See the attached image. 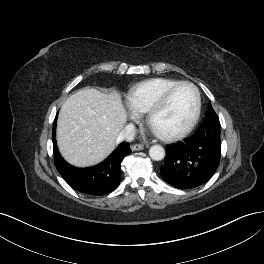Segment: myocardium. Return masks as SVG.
I'll return each instance as SVG.
<instances>
[{"label":"myocardium","instance_id":"f54148a6","mask_svg":"<svg viewBox=\"0 0 264 264\" xmlns=\"http://www.w3.org/2000/svg\"><path fill=\"white\" fill-rule=\"evenodd\" d=\"M182 85H188V86L192 87L194 92H195V96H196L195 110H194V113H193L190 121L188 122V124L185 127H183L182 129H180V130H178L176 132L162 133V132L156 131L152 127V120H153L154 116L160 110H162L165 107V105L167 104L172 92L176 88H178V87H180ZM201 109H202V98H201V92H200L199 88L191 81L182 80V81H178V82L170 85L169 87H167L164 90V92L161 94L159 99L148 110L147 117H146V122H147L148 127L161 140H164V141H176V140H179V139L185 137L186 135H188L193 130V128L196 126V124H197V122H198V120L200 118Z\"/></svg>","mask_w":264,"mask_h":264}]
</instances>
